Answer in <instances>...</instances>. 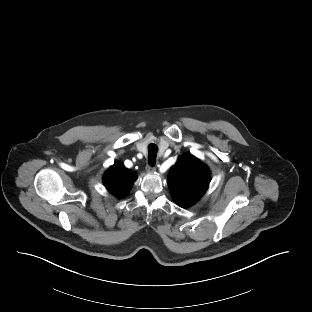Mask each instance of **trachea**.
<instances>
[{
	"label": "trachea",
	"mask_w": 312,
	"mask_h": 312,
	"mask_svg": "<svg viewBox=\"0 0 312 312\" xmlns=\"http://www.w3.org/2000/svg\"><path fill=\"white\" fill-rule=\"evenodd\" d=\"M158 152V146L154 143L148 145V163L151 166L156 164V156Z\"/></svg>",
	"instance_id": "1"
}]
</instances>
